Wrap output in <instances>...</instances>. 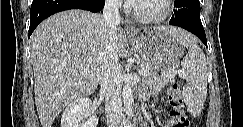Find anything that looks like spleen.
Masks as SVG:
<instances>
[{
  "mask_svg": "<svg viewBox=\"0 0 243 127\" xmlns=\"http://www.w3.org/2000/svg\"><path fill=\"white\" fill-rule=\"evenodd\" d=\"M180 44L188 49V54L181 62L183 78L186 84L183 87L184 101L192 113L199 114L207 96V61L205 54L190 35H176Z\"/></svg>",
  "mask_w": 243,
  "mask_h": 127,
  "instance_id": "1",
  "label": "spleen"
}]
</instances>
